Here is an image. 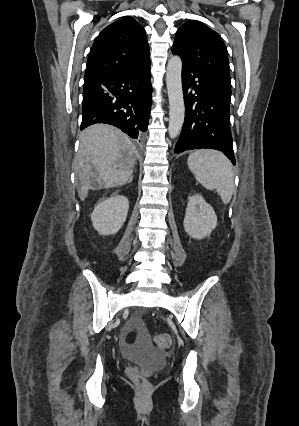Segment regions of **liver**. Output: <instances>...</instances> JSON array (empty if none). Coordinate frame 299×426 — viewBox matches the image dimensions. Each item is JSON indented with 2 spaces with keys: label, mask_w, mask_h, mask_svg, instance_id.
Instances as JSON below:
<instances>
[{
  "label": "liver",
  "mask_w": 299,
  "mask_h": 426,
  "mask_svg": "<svg viewBox=\"0 0 299 426\" xmlns=\"http://www.w3.org/2000/svg\"><path fill=\"white\" fill-rule=\"evenodd\" d=\"M138 151L119 129L95 124L80 136L76 156L78 195L83 201L88 191L122 186L132 179Z\"/></svg>",
  "instance_id": "6515ba94"
}]
</instances>
